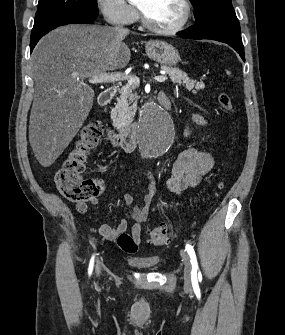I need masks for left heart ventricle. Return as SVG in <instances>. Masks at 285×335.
Returning a JSON list of instances; mask_svg holds the SVG:
<instances>
[{
    "label": "left heart ventricle",
    "mask_w": 285,
    "mask_h": 335,
    "mask_svg": "<svg viewBox=\"0 0 285 335\" xmlns=\"http://www.w3.org/2000/svg\"><path fill=\"white\" fill-rule=\"evenodd\" d=\"M150 22L159 28H173L184 17V8L178 1H142Z\"/></svg>",
    "instance_id": "obj_1"
}]
</instances>
